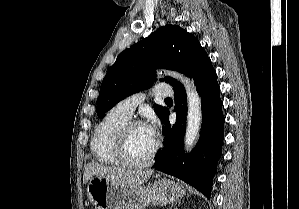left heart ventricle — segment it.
<instances>
[{"label": "left heart ventricle", "instance_id": "obj_1", "mask_svg": "<svg viewBox=\"0 0 299 209\" xmlns=\"http://www.w3.org/2000/svg\"><path fill=\"white\" fill-rule=\"evenodd\" d=\"M155 140L147 133L144 126L130 130L126 142V157L132 162H141L148 157Z\"/></svg>", "mask_w": 299, "mask_h": 209}]
</instances>
